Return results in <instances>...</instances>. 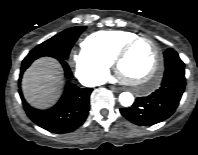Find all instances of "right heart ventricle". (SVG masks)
I'll return each mask as SVG.
<instances>
[{
  "instance_id": "obj_1",
  "label": "right heart ventricle",
  "mask_w": 198,
  "mask_h": 155,
  "mask_svg": "<svg viewBox=\"0 0 198 155\" xmlns=\"http://www.w3.org/2000/svg\"><path fill=\"white\" fill-rule=\"evenodd\" d=\"M136 36L137 33L126 30L98 31L87 36L82 47L110 64L118 49Z\"/></svg>"
}]
</instances>
